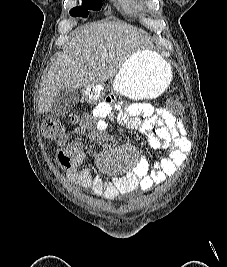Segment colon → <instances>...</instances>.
Returning a JSON list of instances; mask_svg holds the SVG:
<instances>
[{
    "instance_id": "obj_1",
    "label": "colon",
    "mask_w": 227,
    "mask_h": 267,
    "mask_svg": "<svg viewBox=\"0 0 227 267\" xmlns=\"http://www.w3.org/2000/svg\"><path fill=\"white\" fill-rule=\"evenodd\" d=\"M168 111L172 114H178L182 111V107L178 101L171 99L167 103ZM64 125L57 115L47 116L41 124V134L49 140H58L64 134Z\"/></svg>"
}]
</instances>
